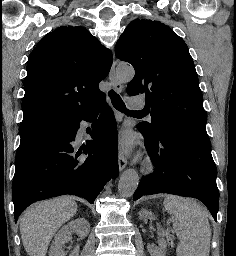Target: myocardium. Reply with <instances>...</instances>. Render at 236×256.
I'll list each match as a JSON object with an SVG mask.
<instances>
[{"instance_id":"f54148a6","label":"myocardium","mask_w":236,"mask_h":256,"mask_svg":"<svg viewBox=\"0 0 236 256\" xmlns=\"http://www.w3.org/2000/svg\"><path fill=\"white\" fill-rule=\"evenodd\" d=\"M155 168L154 161L151 158L146 159L145 169L147 172H152Z\"/></svg>"}]
</instances>
